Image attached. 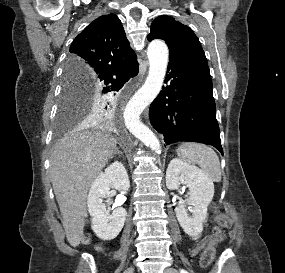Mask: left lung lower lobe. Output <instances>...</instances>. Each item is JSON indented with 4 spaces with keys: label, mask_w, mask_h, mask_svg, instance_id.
<instances>
[{
    "label": "left lung lower lobe",
    "mask_w": 285,
    "mask_h": 273,
    "mask_svg": "<svg viewBox=\"0 0 285 273\" xmlns=\"http://www.w3.org/2000/svg\"><path fill=\"white\" fill-rule=\"evenodd\" d=\"M167 72L165 83L169 85L150 105L152 126L163 134L166 145L199 142L214 146L223 155L211 77L193 73L173 59Z\"/></svg>",
    "instance_id": "left-lung-lower-lobe-1"
}]
</instances>
